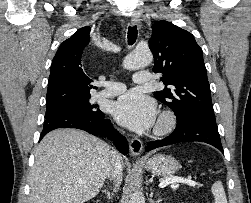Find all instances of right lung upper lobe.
<instances>
[{"label": "right lung upper lobe", "mask_w": 251, "mask_h": 203, "mask_svg": "<svg viewBox=\"0 0 251 203\" xmlns=\"http://www.w3.org/2000/svg\"><path fill=\"white\" fill-rule=\"evenodd\" d=\"M89 33L90 27H83L59 46L51 65L46 108L90 98L92 80L81 64L83 50L89 44Z\"/></svg>", "instance_id": "right-lung-upper-lobe-1"}]
</instances>
